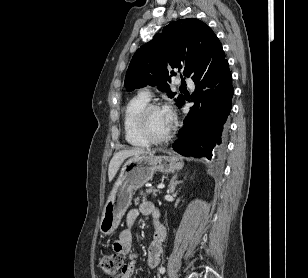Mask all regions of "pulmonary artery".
<instances>
[{"instance_id": "e3ab8cb5", "label": "pulmonary artery", "mask_w": 308, "mask_h": 278, "mask_svg": "<svg viewBox=\"0 0 308 278\" xmlns=\"http://www.w3.org/2000/svg\"><path fill=\"white\" fill-rule=\"evenodd\" d=\"M185 83L187 84L188 87H190L191 89L195 88V84L191 79H186ZM142 96H144L145 98H147L148 100L151 99L152 95L151 92L148 89H143L140 93Z\"/></svg>"}]
</instances>
